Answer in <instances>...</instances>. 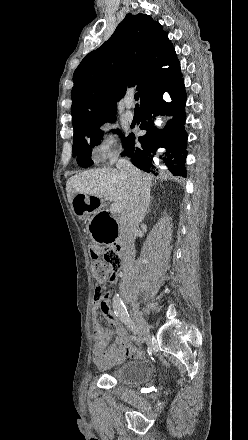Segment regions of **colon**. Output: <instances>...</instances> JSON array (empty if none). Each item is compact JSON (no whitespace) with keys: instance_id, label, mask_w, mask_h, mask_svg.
Instances as JSON below:
<instances>
[{"instance_id":"colon-1","label":"colon","mask_w":248,"mask_h":440,"mask_svg":"<svg viewBox=\"0 0 248 440\" xmlns=\"http://www.w3.org/2000/svg\"><path fill=\"white\" fill-rule=\"evenodd\" d=\"M93 273L95 279L102 283L111 277V271L114 267H120L121 261L119 255L109 247H103L92 250ZM104 296L100 287L95 289V299H102Z\"/></svg>"}]
</instances>
